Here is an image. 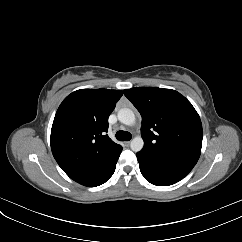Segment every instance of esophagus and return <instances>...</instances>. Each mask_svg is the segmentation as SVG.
Segmentation results:
<instances>
[{
    "instance_id": "esophagus-1",
    "label": "esophagus",
    "mask_w": 242,
    "mask_h": 242,
    "mask_svg": "<svg viewBox=\"0 0 242 242\" xmlns=\"http://www.w3.org/2000/svg\"><path fill=\"white\" fill-rule=\"evenodd\" d=\"M124 145H125L126 147H129V146H130V141L125 142Z\"/></svg>"
}]
</instances>
